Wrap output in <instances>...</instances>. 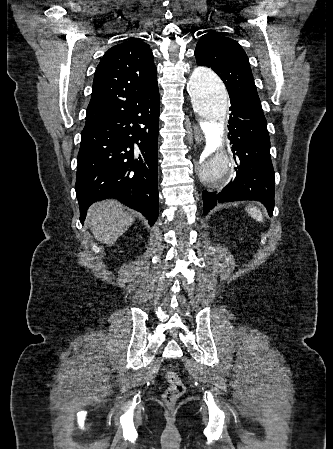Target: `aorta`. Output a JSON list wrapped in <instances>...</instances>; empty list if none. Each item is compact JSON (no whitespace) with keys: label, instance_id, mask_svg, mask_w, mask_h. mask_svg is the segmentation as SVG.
I'll list each match as a JSON object with an SVG mask.
<instances>
[{"label":"aorta","instance_id":"762f6f07","mask_svg":"<svg viewBox=\"0 0 333 449\" xmlns=\"http://www.w3.org/2000/svg\"><path fill=\"white\" fill-rule=\"evenodd\" d=\"M187 89L197 120L208 127L211 140L210 149L196 160L195 177L207 189L219 190L225 186L231 167L225 146L228 95L220 78L206 66L194 68Z\"/></svg>","mask_w":333,"mask_h":449}]
</instances>
